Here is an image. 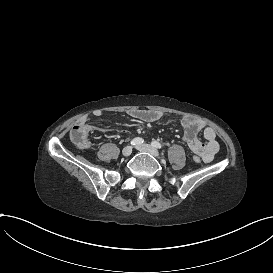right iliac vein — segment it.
I'll list each match as a JSON object with an SVG mask.
<instances>
[{
	"mask_svg": "<svg viewBox=\"0 0 273 273\" xmlns=\"http://www.w3.org/2000/svg\"><path fill=\"white\" fill-rule=\"evenodd\" d=\"M123 155L125 157L129 156L132 153V147L131 146H127L123 149L122 151Z\"/></svg>",
	"mask_w": 273,
	"mask_h": 273,
	"instance_id": "obj_1",
	"label": "right iliac vein"
}]
</instances>
